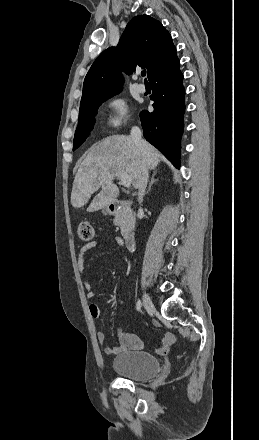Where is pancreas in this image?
Listing matches in <instances>:
<instances>
[{
	"label": "pancreas",
	"mask_w": 259,
	"mask_h": 440,
	"mask_svg": "<svg viewBox=\"0 0 259 440\" xmlns=\"http://www.w3.org/2000/svg\"><path fill=\"white\" fill-rule=\"evenodd\" d=\"M114 224L121 229L122 236L126 237L135 225V214L128 206H123L115 215Z\"/></svg>",
	"instance_id": "obj_1"
}]
</instances>
